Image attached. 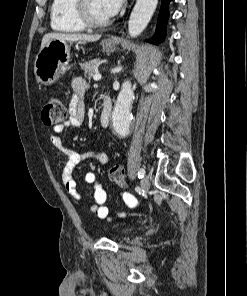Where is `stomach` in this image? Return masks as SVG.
Wrapping results in <instances>:
<instances>
[{
    "mask_svg": "<svg viewBox=\"0 0 247 296\" xmlns=\"http://www.w3.org/2000/svg\"><path fill=\"white\" fill-rule=\"evenodd\" d=\"M107 53L115 50L116 44L105 39L101 42ZM70 47L66 41L51 40L38 52L34 61V75L38 83L52 85L69 67Z\"/></svg>",
    "mask_w": 247,
    "mask_h": 296,
    "instance_id": "obj_1",
    "label": "stomach"
}]
</instances>
